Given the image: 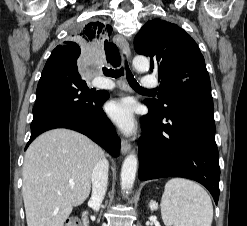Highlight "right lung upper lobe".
Returning a JSON list of instances; mask_svg holds the SVG:
<instances>
[{
    "instance_id": "obj_1",
    "label": "right lung upper lobe",
    "mask_w": 247,
    "mask_h": 226,
    "mask_svg": "<svg viewBox=\"0 0 247 226\" xmlns=\"http://www.w3.org/2000/svg\"><path fill=\"white\" fill-rule=\"evenodd\" d=\"M111 30V26L104 25L99 21L90 22L85 25L77 36L85 44H104L107 61L114 67H117L120 65L118 48L106 40V38L110 35ZM64 45H71L76 48H80L75 42H65Z\"/></svg>"
}]
</instances>
